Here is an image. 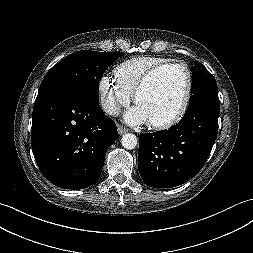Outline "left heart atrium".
I'll use <instances>...</instances> for the list:
<instances>
[{"mask_svg": "<svg viewBox=\"0 0 253 253\" xmlns=\"http://www.w3.org/2000/svg\"><path fill=\"white\" fill-rule=\"evenodd\" d=\"M125 121L130 125H141L148 122L146 115L137 105L125 114Z\"/></svg>", "mask_w": 253, "mask_h": 253, "instance_id": "obj_1", "label": "left heart atrium"}]
</instances>
